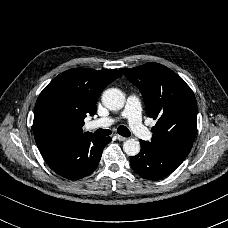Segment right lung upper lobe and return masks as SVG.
Instances as JSON below:
<instances>
[{
    "label": "right lung upper lobe",
    "instance_id": "cb5924a9",
    "mask_svg": "<svg viewBox=\"0 0 228 228\" xmlns=\"http://www.w3.org/2000/svg\"><path fill=\"white\" fill-rule=\"evenodd\" d=\"M118 77L121 74L117 70L76 68L54 78L41 92L35 105L33 132L39 150L92 135L89 132L83 133L84 118L96 113V102L102 90ZM47 101H56L69 113L70 119L63 128L53 131L36 122L35 114Z\"/></svg>",
    "mask_w": 228,
    "mask_h": 228
}]
</instances>
